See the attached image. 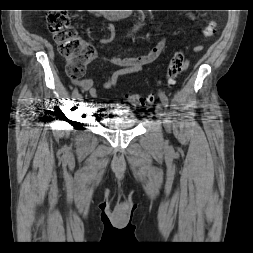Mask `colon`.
<instances>
[{"mask_svg": "<svg viewBox=\"0 0 253 253\" xmlns=\"http://www.w3.org/2000/svg\"><path fill=\"white\" fill-rule=\"evenodd\" d=\"M47 26L58 44L60 54L66 59L67 73L72 78L81 77L86 66L96 56L95 50L83 41L72 26L71 18L65 11H53L48 15ZM214 23H210L203 30L205 37L212 36ZM188 66V61L183 51L174 52L168 65L164 85L170 87L175 83L177 77L182 74ZM127 101L135 106H147L154 102L153 96H142L136 93H127Z\"/></svg>", "mask_w": 253, "mask_h": 253, "instance_id": "colon-1", "label": "colon"}]
</instances>
